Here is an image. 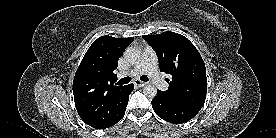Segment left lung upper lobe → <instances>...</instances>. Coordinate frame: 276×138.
Instances as JSON below:
<instances>
[{"label":"left lung upper lobe","mask_w":276,"mask_h":138,"mask_svg":"<svg viewBox=\"0 0 276 138\" xmlns=\"http://www.w3.org/2000/svg\"><path fill=\"white\" fill-rule=\"evenodd\" d=\"M143 38L155 50L162 72L170 74L166 98L200 110L207 92L206 68L196 47L175 32L146 35Z\"/></svg>","instance_id":"5c2ea615"}]
</instances>
